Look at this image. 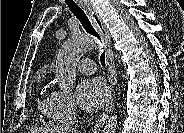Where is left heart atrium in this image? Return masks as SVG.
Returning <instances> with one entry per match:
<instances>
[{
  "label": "left heart atrium",
  "instance_id": "1",
  "mask_svg": "<svg viewBox=\"0 0 184 133\" xmlns=\"http://www.w3.org/2000/svg\"><path fill=\"white\" fill-rule=\"evenodd\" d=\"M76 101L86 111L100 109L109 97L106 83L100 78L83 80L76 88Z\"/></svg>",
  "mask_w": 184,
  "mask_h": 133
}]
</instances>
